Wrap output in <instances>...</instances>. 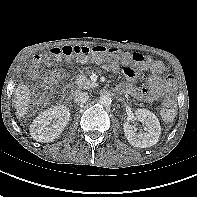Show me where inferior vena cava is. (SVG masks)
I'll use <instances>...</instances> for the list:
<instances>
[{
  "label": "inferior vena cava",
  "instance_id": "inferior-vena-cava-1",
  "mask_svg": "<svg viewBox=\"0 0 197 197\" xmlns=\"http://www.w3.org/2000/svg\"><path fill=\"white\" fill-rule=\"evenodd\" d=\"M89 99V95L87 92L78 91L75 93L74 101L78 105H82L86 103Z\"/></svg>",
  "mask_w": 197,
  "mask_h": 197
}]
</instances>
